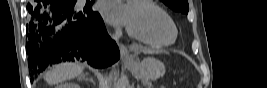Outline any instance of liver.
<instances>
[{
    "label": "liver",
    "mask_w": 267,
    "mask_h": 88,
    "mask_svg": "<svg viewBox=\"0 0 267 88\" xmlns=\"http://www.w3.org/2000/svg\"><path fill=\"white\" fill-rule=\"evenodd\" d=\"M144 53H153V51H143ZM83 72V67L75 63H61L54 66L46 75L45 80L50 85L62 83L73 79Z\"/></svg>",
    "instance_id": "6515ba94"
}]
</instances>
